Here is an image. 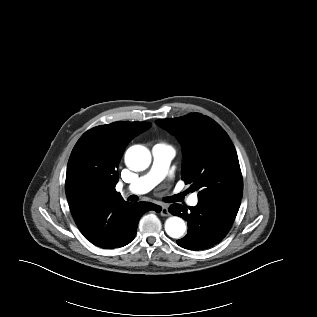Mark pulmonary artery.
Wrapping results in <instances>:
<instances>
[{"label": "pulmonary artery", "instance_id": "obj_1", "mask_svg": "<svg viewBox=\"0 0 317 317\" xmlns=\"http://www.w3.org/2000/svg\"><path fill=\"white\" fill-rule=\"evenodd\" d=\"M174 154L171 146L164 143L155 144L152 148L153 162L150 170L129 185L127 191L133 194H143L154 188L165 178ZM188 204L191 206L198 204L197 194L189 197Z\"/></svg>", "mask_w": 317, "mask_h": 317}]
</instances>
